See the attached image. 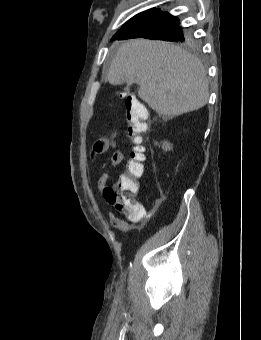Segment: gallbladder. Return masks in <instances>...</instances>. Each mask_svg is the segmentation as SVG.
I'll use <instances>...</instances> for the list:
<instances>
[{
  "label": "gallbladder",
  "mask_w": 261,
  "mask_h": 340,
  "mask_svg": "<svg viewBox=\"0 0 261 340\" xmlns=\"http://www.w3.org/2000/svg\"><path fill=\"white\" fill-rule=\"evenodd\" d=\"M133 83H136V81L133 80V81H131V82H128L127 84H128V85H131V84H133Z\"/></svg>",
  "instance_id": "bac80fb5"
}]
</instances>
